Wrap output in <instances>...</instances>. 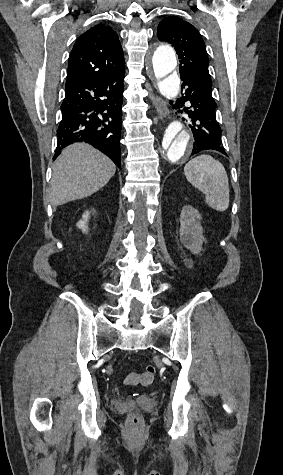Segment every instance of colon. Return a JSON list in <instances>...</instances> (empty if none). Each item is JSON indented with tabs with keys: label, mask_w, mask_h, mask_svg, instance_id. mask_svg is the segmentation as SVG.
Here are the masks:
<instances>
[{
	"label": "colon",
	"mask_w": 283,
	"mask_h": 475,
	"mask_svg": "<svg viewBox=\"0 0 283 475\" xmlns=\"http://www.w3.org/2000/svg\"><path fill=\"white\" fill-rule=\"evenodd\" d=\"M155 374H156V367L154 365H147L144 376L147 377L148 379H151L155 376ZM140 415H141L140 413L133 415L130 418V422L138 423L140 420Z\"/></svg>",
	"instance_id": "colon-1"
}]
</instances>
